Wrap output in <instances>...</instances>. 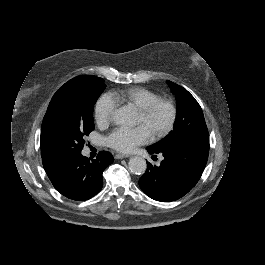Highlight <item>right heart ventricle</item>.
I'll return each instance as SVG.
<instances>
[{
	"instance_id": "obj_1",
	"label": "right heart ventricle",
	"mask_w": 265,
	"mask_h": 265,
	"mask_svg": "<svg viewBox=\"0 0 265 265\" xmlns=\"http://www.w3.org/2000/svg\"><path fill=\"white\" fill-rule=\"evenodd\" d=\"M110 96L117 105L134 107L138 111L159 98L155 92L144 87L118 88L112 90Z\"/></svg>"
}]
</instances>
